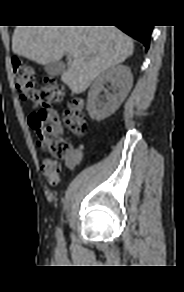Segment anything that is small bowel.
<instances>
[{
	"label": "small bowel",
	"mask_w": 184,
	"mask_h": 292,
	"mask_svg": "<svg viewBox=\"0 0 184 292\" xmlns=\"http://www.w3.org/2000/svg\"><path fill=\"white\" fill-rule=\"evenodd\" d=\"M82 158V147H77L72 150L71 156L66 160L65 164L68 168H74L78 165Z\"/></svg>",
	"instance_id": "c3829d8e"
}]
</instances>
